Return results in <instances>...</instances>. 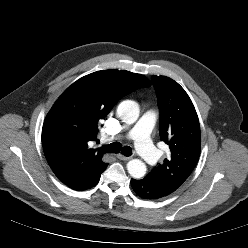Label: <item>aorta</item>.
I'll use <instances>...</instances> for the list:
<instances>
[{
	"instance_id": "762f6f07",
	"label": "aorta",
	"mask_w": 248,
	"mask_h": 248,
	"mask_svg": "<svg viewBox=\"0 0 248 248\" xmlns=\"http://www.w3.org/2000/svg\"><path fill=\"white\" fill-rule=\"evenodd\" d=\"M139 106L135 101H122L117 107L118 116L127 124L134 123L139 117ZM128 173L135 179H140L146 174V165L139 159H132L127 163Z\"/></svg>"
}]
</instances>
